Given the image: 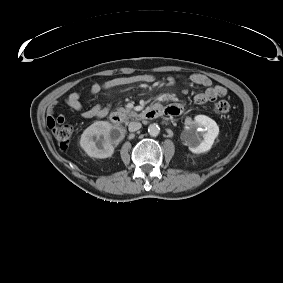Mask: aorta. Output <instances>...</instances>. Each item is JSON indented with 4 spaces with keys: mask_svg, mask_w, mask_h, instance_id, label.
Instances as JSON below:
<instances>
[{
    "mask_svg": "<svg viewBox=\"0 0 283 283\" xmlns=\"http://www.w3.org/2000/svg\"><path fill=\"white\" fill-rule=\"evenodd\" d=\"M148 133L152 137L158 136L160 133V127L158 126V124L156 123L150 124L148 127Z\"/></svg>",
    "mask_w": 283,
    "mask_h": 283,
    "instance_id": "1",
    "label": "aorta"
}]
</instances>
